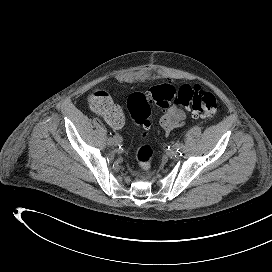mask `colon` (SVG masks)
<instances>
[{
  "instance_id": "5ec220e1",
  "label": "colon",
  "mask_w": 272,
  "mask_h": 272,
  "mask_svg": "<svg viewBox=\"0 0 272 272\" xmlns=\"http://www.w3.org/2000/svg\"><path fill=\"white\" fill-rule=\"evenodd\" d=\"M155 103L160 107L168 108L176 104L192 109L195 116L211 118L217 113L218 103L215 95L199 85H182L179 89L168 83L154 86L147 92L132 93L127 99V108L133 121L140 126L142 137L145 139L150 127V104ZM93 109L105 111L109 104V96L106 92L96 91L90 97ZM155 156L154 148L147 144H141L135 153L138 166L143 170H149Z\"/></svg>"
}]
</instances>
